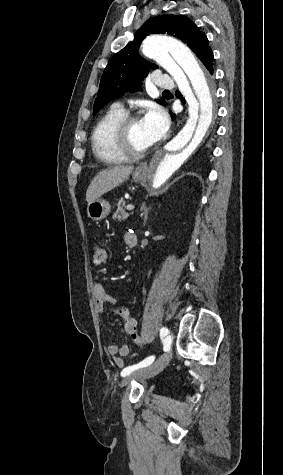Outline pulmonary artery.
<instances>
[{"instance_id": "obj_1", "label": "pulmonary artery", "mask_w": 283, "mask_h": 475, "mask_svg": "<svg viewBox=\"0 0 283 475\" xmlns=\"http://www.w3.org/2000/svg\"><path fill=\"white\" fill-rule=\"evenodd\" d=\"M157 88L158 89H172L173 81L172 80H158ZM117 105H120V104H117Z\"/></svg>"}]
</instances>
